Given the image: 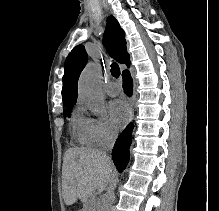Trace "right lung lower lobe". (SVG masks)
I'll list each match as a JSON object with an SVG mask.
<instances>
[{"label":"right lung lower lobe","mask_w":219,"mask_h":211,"mask_svg":"<svg viewBox=\"0 0 219 211\" xmlns=\"http://www.w3.org/2000/svg\"><path fill=\"white\" fill-rule=\"evenodd\" d=\"M129 67V64L127 65ZM123 89L126 94L131 96L133 90V82L128 70H124L122 73ZM133 124H129L122 134L116 140L114 148L112 150L113 162L121 173L127 166L130 159L129 148L132 140Z\"/></svg>","instance_id":"right-lung-lower-lobe-1"}]
</instances>
